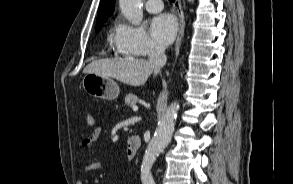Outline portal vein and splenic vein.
<instances>
[{
    "label": "portal vein and splenic vein",
    "mask_w": 293,
    "mask_h": 184,
    "mask_svg": "<svg viewBox=\"0 0 293 184\" xmlns=\"http://www.w3.org/2000/svg\"><path fill=\"white\" fill-rule=\"evenodd\" d=\"M132 109H133L134 112L138 111V107L137 106H133Z\"/></svg>",
    "instance_id": "1"
}]
</instances>
